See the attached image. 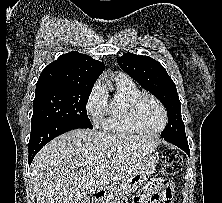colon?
Listing matches in <instances>:
<instances>
[{"instance_id":"obj_1","label":"colon","mask_w":222,"mask_h":203,"mask_svg":"<svg viewBox=\"0 0 222 203\" xmlns=\"http://www.w3.org/2000/svg\"><path fill=\"white\" fill-rule=\"evenodd\" d=\"M182 168V158L178 151L168 148L163 153V174L167 178L175 176ZM143 203V202H142Z\"/></svg>"}]
</instances>
